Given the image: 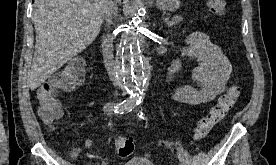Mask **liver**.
Returning <instances> with one entry per match:
<instances>
[{
  "label": "liver",
  "mask_w": 276,
  "mask_h": 165,
  "mask_svg": "<svg viewBox=\"0 0 276 165\" xmlns=\"http://www.w3.org/2000/svg\"><path fill=\"white\" fill-rule=\"evenodd\" d=\"M104 1L35 0L36 44L28 77L31 90L96 39L103 22Z\"/></svg>",
  "instance_id": "6515ba94"
}]
</instances>
